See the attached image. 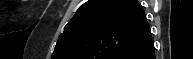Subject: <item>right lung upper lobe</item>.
<instances>
[{"instance_id":"right-lung-upper-lobe-1","label":"right lung upper lobe","mask_w":193,"mask_h":59,"mask_svg":"<svg viewBox=\"0 0 193 59\" xmlns=\"http://www.w3.org/2000/svg\"><path fill=\"white\" fill-rule=\"evenodd\" d=\"M151 38L137 0H89L65 26L51 59H125Z\"/></svg>"}]
</instances>
